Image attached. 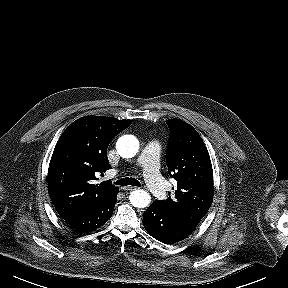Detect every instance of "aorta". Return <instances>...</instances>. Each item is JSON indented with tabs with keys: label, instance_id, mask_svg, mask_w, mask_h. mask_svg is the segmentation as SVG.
I'll return each instance as SVG.
<instances>
[{
	"label": "aorta",
	"instance_id": "aorta-1",
	"mask_svg": "<svg viewBox=\"0 0 288 288\" xmlns=\"http://www.w3.org/2000/svg\"><path fill=\"white\" fill-rule=\"evenodd\" d=\"M116 149L123 158L134 157L139 150V141L133 135H124L116 143ZM130 203L136 208H145L151 202L150 194L142 189L134 190L129 196Z\"/></svg>",
	"mask_w": 288,
	"mask_h": 288
}]
</instances>
